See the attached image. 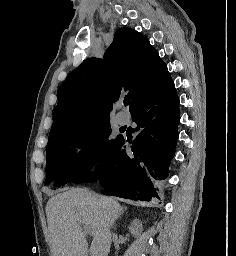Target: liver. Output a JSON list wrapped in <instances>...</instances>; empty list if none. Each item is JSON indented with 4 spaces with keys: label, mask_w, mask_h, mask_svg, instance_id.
Here are the masks:
<instances>
[{
    "label": "liver",
    "mask_w": 236,
    "mask_h": 256,
    "mask_svg": "<svg viewBox=\"0 0 236 256\" xmlns=\"http://www.w3.org/2000/svg\"><path fill=\"white\" fill-rule=\"evenodd\" d=\"M46 204L49 246L53 256H108L110 228L123 212L115 198L99 196L87 188H62ZM91 228L89 248L80 226Z\"/></svg>",
    "instance_id": "liver-1"
}]
</instances>
